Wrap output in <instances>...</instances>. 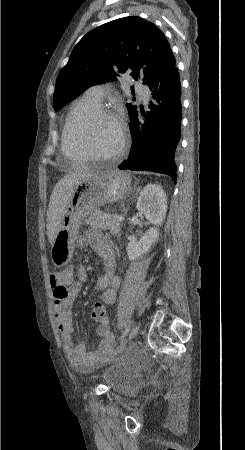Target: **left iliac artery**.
Instances as JSON below:
<instances>
[{"label": "left iliac artery", "mask_w": 245, "mask_h": 450, "mask_svg": "<svg viewBox=\"0 0 245 450\" xmlns=\"http://www.w3.org/2000/svg\"><path fill=\"white\" fill-rule=\"evenodd\" d=\"M129 331H130V325L126 326L124 332H123L122 335L120 336V340H122V339L127 335V333H128Z\"/></svg>", "instance_id": "left-iliac-artery-1"}]
</instances>
